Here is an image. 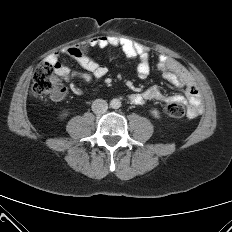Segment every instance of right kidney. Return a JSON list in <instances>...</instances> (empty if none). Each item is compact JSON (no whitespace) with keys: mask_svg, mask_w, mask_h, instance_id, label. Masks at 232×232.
<instances>
[{"mask_svg":"<svg viewBox=\"0 0 232 232\" xmlns=\"http://www.w3.org/2000/svg\"><path fill=\"white\" fill-rule=\"evenodd\" d=\"M67 115H68V113L65 112V113H62L60 116H61V118H64V117L67 116Z\"/></svg>","mask_w":232,"mask_h":232,"instance_id":"right-kidney-1","label":"right kidney"}]
</instances>
